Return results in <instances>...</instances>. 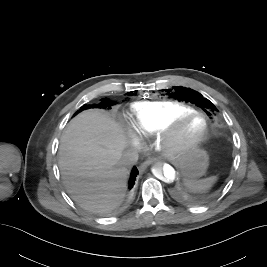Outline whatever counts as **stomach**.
<instances>
[{"instance_id":"1","label":"stomach","mask_w":267,"mask_h":267,"mask_svg":"<svg viewBox=\"0 0 267 267\" xmlns=\"http://www.w3.org/2000/svg\"><path fill=\"white\" fill-rule=\"evenodd\" d=\"M208 159L206 151L193 147L178 155L177 164L187 178L196 180L205 174L209 165Z\"/></svg>"}]
</instances>
